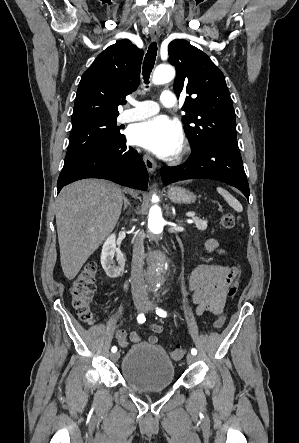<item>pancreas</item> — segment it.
Returning a JSON list of instances; mask_svg holds the SVG:
<instances>
[{
    "mask_svg": "<svg viewBox=\"0 0 299 443\" xmlns=\"http://www.w3.org/2000/svg\"><path fill=\"white\" fill-rule=\"evenodd\" d=\"M193 222L198 230L204 231L207 229V220L199 219L198 217L193 218Z\"/></svg>",
    "mask_w": 299,
    "mask_h": 443,
    "instance_id": "1",
    "label": "pancreas"
}]
</instances>
